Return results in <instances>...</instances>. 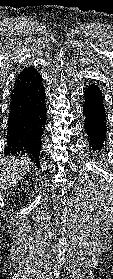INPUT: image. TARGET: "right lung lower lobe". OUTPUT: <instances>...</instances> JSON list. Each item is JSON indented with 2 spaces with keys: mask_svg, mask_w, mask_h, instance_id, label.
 I'll return each instance as SVG.
<instances>
[{
  "mask_svg": "<svg viewBox=\"0 0 113 279\" xmlns=\"http://www.w3.org/2000/svg\"><path fill=\"white\" fill-rule=\"evenodd\" d=\"M45 98L42 77L33 66L17 77L9 108L6 155H28L39 166L46 123Z\"/></svg>",
  "mask_w": 113,
  "mask_h": 279,
  "instance_id": "1",
  "label": "right lung lower lobe"
}]
</instances>
